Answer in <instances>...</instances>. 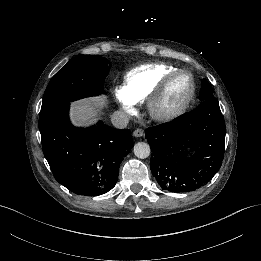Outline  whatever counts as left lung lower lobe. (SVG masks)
<instances>
[{"mask_svg": "<svg viewBox=\"0 0 261 261\" xmlns=\"http://www.w3.org/2000/svg\"><path fill=\"white\" fill-rule=\"evenodd\" d=\"M145 134L154 152L150 168L163 190L194 191L206 185L221 167L226 127L214 97L171 122L148 128ZM187 148L196 153L187 157Z\"/></svg>", "mask_w": 261, "mask_h": 261, "instance_id": "obj_1", "label": "left lung lower lobe"}]
</instances>
